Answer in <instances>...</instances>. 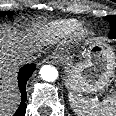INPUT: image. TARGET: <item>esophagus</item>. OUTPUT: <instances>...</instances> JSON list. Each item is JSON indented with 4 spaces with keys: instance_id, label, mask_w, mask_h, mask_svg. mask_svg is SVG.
<instances>
[{
    "instance_id": "esophagus-1",
    "label": "esophagus",
    "mask_w": 116,
    "mask_h": 116,
    "mask_svg": "<svg viewBox=\"0 0 116 116\" xmlns=\"http://www.w3.org/2000/svg\"><path fill=\"white\" fill-rule=\"evenodd\" d=\"M44 62L54 64L56 62V59L53 56H49L44 60Z\"/></svg>"
}]
</instances>
